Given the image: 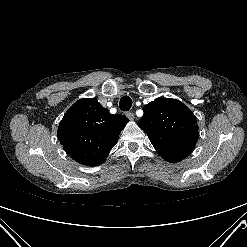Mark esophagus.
Masks as SVG:
<instances>
[{"label": "esophagus", "mask_w": 247, "mask_h": 247, "mask_svg": "<svg viewBox=\"0 0 247 247\" xmlns=\"http://www.w3.org/2000/svg\"><path fill=\"white\" fill-rule=\"evenodd\" d=\"M126 116L130 119V120H133L135 118V115L133 112H127L126 113Z\"/></svg>", "instance_id": "esophagus-1"}]
</instances>
